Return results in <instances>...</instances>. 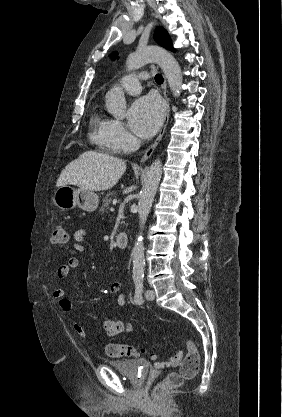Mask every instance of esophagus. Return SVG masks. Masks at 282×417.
Returning a JSON list of instances; mask_svg holds the SVG:
<instances>
[{"mask_svg":"<svg viewBox=\"0 0 282 417\" xmlns=\"http://www.w3.org/2000/svg\"><path fill=\"white\" fill-rule=\"evenodd\" d=\"M162 89H163V94L166 100V111L164 114V118H163V123L162 126L160 128V132L158 137L156 138L155 142L148 148V150L145 152V154L143 155L141 162H146V160H148L151 155L153 154L155 148L157 147L158 143L160 142L161 138L163 137V134L165 132L166 126L168 124V120H169V113H170V106H169V99L167 96V83H166V79H164L163 85H162Z\"/></svg>","mask_w":282,"mask_h":417,"instance_id":"1","label":"esophagus"}]
</instances>
